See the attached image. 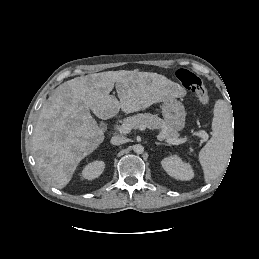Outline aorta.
I'll return each mask as SVG.
<instances>
[{
    "label": "aorta",
    "instance_id": "obj_1",
    "mask_svg": "<svg viewBox=\"0 0 259 259\" xmlns=\"http://www.w3.org/2000/svg\"><path fill=\"white\" fill-rule=\"evenodd\" d=\"M133 150L136 154H142L144 152V147L141 144H136L134 145Z\"/></svg>",
    "mask_w": 259,
    "mask_h": 259
}]
</instances>
